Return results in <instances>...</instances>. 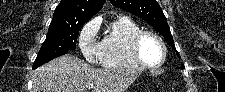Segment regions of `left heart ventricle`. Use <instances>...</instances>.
Returning a JSON list of instances; mask_svg holds the SVG:
<instances>
[{
    "label": "left heart ventricle",
    "instance_id": "obj_1",
    "mask_svg": "<svg viewBox=\"0 0 225 92\" xmlns=\"http://www.w3.org/2000/svg\"><path fill=\"white\" fill-rule=\"evenodd\" d=\"M140 53L149 64H156L162 58V48L157 40L146 36L140 43Z\"/></svg>",
    "mask_w": 225,
    "mask_h": 92
}]
</instances>
